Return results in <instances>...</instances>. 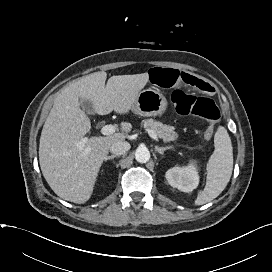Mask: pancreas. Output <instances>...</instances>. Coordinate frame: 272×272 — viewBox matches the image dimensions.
I'll list each match as a JSON object with an SVG mask.
<instances>
[{"instance_id":"pancreas-1","label":"pancreas","mask_w":272,"mask_h":272,"mask_svg":"<svg viewBox=\"0 0 272 272\" xmlns=\"http://www.w3.org/2000/svg\"><path fill=\"white\" fill-rule=\"evenodd\" d=\"M143 125L144 127L153 130L164 142L175 141L178 138V134L175 132L173 126L154 121L153 119L144 120Z\"/></svg>"}]
</instances>
